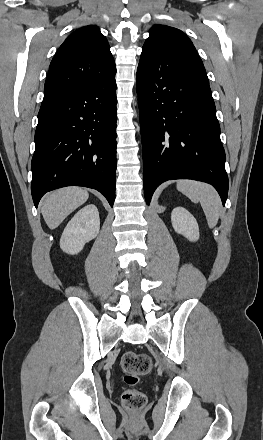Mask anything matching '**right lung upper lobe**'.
<instances>
[{
  "instance_id": "right-lung-upper-lobe-1",
  "label": "right lung upper lobe",
  "mask_w": 263,
  "mask_h": 440,
  "mask_svg": "<svg viewBox=\"0 0 263 440\" xmlns=\"http://www.w3.org/2000/svg\"><path fill=\"white\" fill-rule=\"evenodd\" d=\"M115 73L106 37L94 25L82 27L68 36L51 61L42 103L114 77Z\"/></svg>"
}]
</instances>
